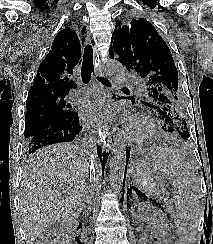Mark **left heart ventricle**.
<instances>
[{
	"label": "left heart ventricle",
	"mask_w": 213,
	"mask_h": 244,
	"mask_svg": "<svg viewBox=\"0 0 213 244\" xmlns=\"http://www.w3.org/2000/svg\"><path fill=\"white\" fill-rule=\"evenodd\" d=\"M139 127L138 126H134V129H138Z\"/></svg>",
	"instance_id": "b2bd125f"
}]
</instances>
